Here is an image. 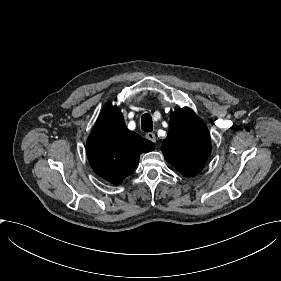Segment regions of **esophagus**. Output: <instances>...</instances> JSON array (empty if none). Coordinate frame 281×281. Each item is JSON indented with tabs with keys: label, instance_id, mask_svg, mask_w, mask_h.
I'll return each mask as SVG.
<instances>
[{
	"label": "esophagus",
	"instance_id": "obj_1",
	"mask_svg": "<svg viewBox=\"0 0 281 281\" xmlns=\"http://www.w3.org/2000/svg\"><path fill=\"white\" fill-rule=\"evenodd\" d=\"M145 137L154 143L156 142V135L154 133H147Z\"/></svg>",
	"mask_w": 281,
	"mask_h": 281
}]
</instances>
